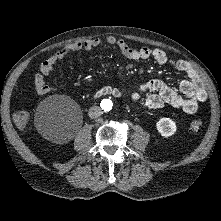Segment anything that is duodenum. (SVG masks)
Wrapping results in <instances>:
<instances>
[{"label": "duodenum", "mask_w": 221, "mask_h": 221, "mask_svg": "<svg viewBox=\"0 0 221 221\" xmlns=\"http://www.w3.org/2000/svg\"><path fill=\"white\" fill-rule=\"evenodd\" d=\"M102 95H112L114 97H120L121 93L117 88L106 86L97 92V96H102Z\"/></svg>", "instance_id": "obj_1"}]
</instances>
